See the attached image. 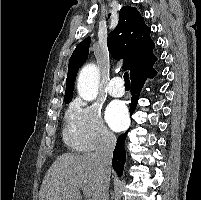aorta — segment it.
Masks as SVG:
<instances>
[{"label": "aorta", "instance_id": "762f6f07", "mask_svg": "<svg viewBox=\"0 0 201 200\" xmlns=\"http://www.w3.org/2000/svg\"><path fill=\"white\" fill-rule=\"evenodd\" d=\"M99 69L95 64H88L79 73L77 90L85 101H92L98 93Z\"/></svg>", "mask_w": 201, "mask_h": 200}]
</instances>
